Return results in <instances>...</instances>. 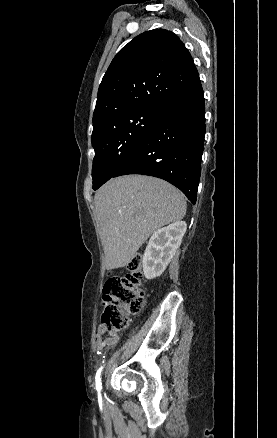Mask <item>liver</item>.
I'll return each instance as SVG.
<instances>
[{
  "mask_svg": "<svg viewBox=\"0 0 277 438\" xmlns=\"http://www.w3.org/2000/svg\"><path fill=\"white\" fill-rule=\"evenodd\" d=\"M106 270L124 268L162 226L183 220L187 204L177 188L151 176L112 178L94 196Z\"/></svg>",
  "mask_w": 277,
  "mask_h": 438,
  "instance_id": "6515ba94",
  "label": "liver"
}]
</instances>
